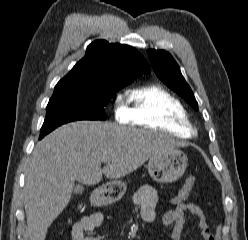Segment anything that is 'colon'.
Returning a JSON list of instances; mask_svg holds the SVG:
<instances>
[{
	"mask_svg": "<svg viewBox=\"0 0 248 240\" xmlns=\"http://www.w3.org/2000/svg\"><path fill=\"white\" fill-rule=\"evenodd\" d=\"M195 178L193 176H189L180 191L176 196H174L171 200L170 203L174 205H178L180 203H183L187 197L189 196L193 186H194Z\"/></svg>",
	"mask_w": 248,
	"mask_h": 240,
	"instance_id": "colon-1",
	"label": "colon"
}]
</instances>
